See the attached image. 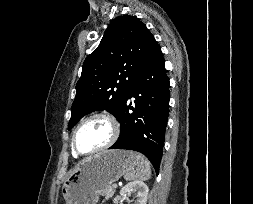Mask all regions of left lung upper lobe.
Returning a JSON list of instances; mask_svg holds the SVG:
<instances>
[{"mask_svg": "<svg viewBox=\"0 0 253 204\" xmlns=\"http://www.w3.org/2000/svg\"><path fill=\"white\" fill-rule=\"evenodd\" d=\"M155 45V38L137 17L113 19L83 63L68 129L93 111L105 109L118 119Z\"/></svg>", "mask_w": 253, "mask_h": 204, "instance_id": "1", "label": "left lung upper lobe"}]
</instances>
